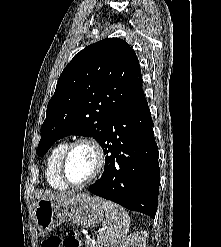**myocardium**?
<instances>
[{
    "instance_id": "f54148a6",
    "label": "myocardium",
    "mask_w": 221,
    "mask_h": 247,
    "mask_svg": "<svg viewBox=\"0 0 221 247\" xmlns=\"http://www.w3.org/2000/svg\"><path fill=\"white\" fill-rule=\"evenodd\" d=\"M81 145L88 146L94 151L96 158V166L94 172L86 180L79 183H75L72 182L67 175V162L73 150ZM106 164H107V155L104 146L97 139L93 137L81 136L75 139L74 141H72L71 143H69L67 149L65 150L60 163V176L63 179V181L69 186L72 187L86 186L101 176V174L103 173L106 167Z\"/></svg>"
}]
</instances>
